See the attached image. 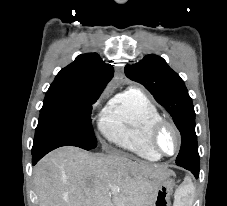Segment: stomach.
Wrapping results in <instances>:
<instances>
[{"mask_svg":"<svg viewBox=\"0 0 227 206\" xmlns=\"http://www.w3.org/2000/svg\"><path fill=\"white\" fill-rule=\"evenodd\" d=\"M174 188L173 179H166L159 186L152 206H170V196Z\"/></svg>","mask_w":227,"mask_h":206,"instance_id":"1","label":"stomach"}]
</instances>
